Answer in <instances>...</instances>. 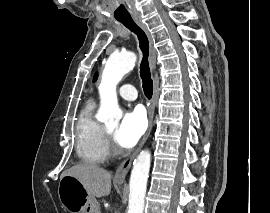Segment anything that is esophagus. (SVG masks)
<instances>
[{"instance_id": "34e87169", "label": "esophagus", "mask_w": 270, "mask_h": 213, "mask_svg": "<svg viewBox=\"0 0 270 213\" xmlns=\"http://www.w3.org/2000/svg\"><path fill=\"white\" fill-rule=\"evenodd\" d=\"M134 21L146 33V35L149 39V45H150L149 64H150V68H151L152 72H154L156 69V50H155L154 45H153L152 37L148 31L146 24L142 21L141 17H134ZM153 84H154V88H153L152 101H151V104H150L149 109H148V128H147V131H146L145 135L143 136L138 148L130 156H128L125 160H123L121 162V164L118 166L116 173L114 175L115 182H124L125 181L126 175L128 174V172L131 168L132 161L134 160V158L136 157V155L138 154L140 149L143 147L144 143L146 142L147 138L149 137V135L151 133L152 126H153V116H154V111H155V104H156L157 97H158V89H157L158 83H157V79H156L155 75H153Z\"/></svg>"}]
</instances>
